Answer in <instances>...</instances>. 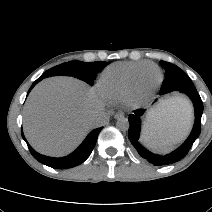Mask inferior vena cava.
<instances>
[{
  "mask_svg": "<svg viewBox=\"0 0 212 212\" xmlns=\"http://www.w3.org/2000/svg\"><path fill=\"white\" fill-rule=\"evenodd\" d=\"M108 115L104 112L99 113L98 115L92 118V125L94 127H100L105 125L106 121L108 120Z\"/></svg>",
  "mask_w": 212,
  "mask_h": 212,
  "instance_id": "inferior-vena-cava-1",
  "label": "inferior vena cava"
}]
</instances>
